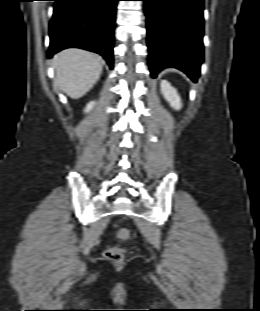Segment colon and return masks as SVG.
I'll return each mask as SVG.
<instances>
[{"label":"colon","mask_w":260,"mask_h":311,"mask_svg":"<svg viewBox=\"0 0 260 311\" xmlns=\"http://www.w3.org/2000/svg\"><path fill=\"white\" fill-rule=\"evenodd\" d=\"M117 236L120 239L127 240L130 238V232L126 228H120L117 232ZM104 254L105 257L115 263H120L124 259V250L118 247L108 248L105 250Z\"/></svg>","instance_id":"5ec220e1"}]
</instances>
